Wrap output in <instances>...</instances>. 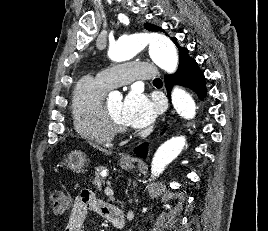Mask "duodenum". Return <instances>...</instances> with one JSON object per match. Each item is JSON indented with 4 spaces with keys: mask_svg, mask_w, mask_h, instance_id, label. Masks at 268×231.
<instances>
[{
    "mask_svg": "<svg viewBox=\"0 0 268 231\" xmlns=\"http://www.w3.org/2000/svg\"><path fill=\"white\" fill-rule=\"evenodd\" d=\"M110 221L117 228H122L125 224L123 211L121 209H112V215L110 217Z\"/></svg>",
    "mask_w": 268,
    "mask_h": 231,
    "instance_id": "410a0bca",
    "label": "duodenum"
}]
</instances>
